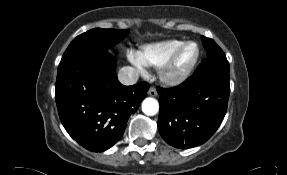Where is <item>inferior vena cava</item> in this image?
Segmentation results:
<instances>
[{
	"mask_svg": "<svg viewBox=\"0 0 287 175\" xmlns=\"http://www.w3.org/2000/svg\"><path fill=\"white\" fill-rule=\"evenodd\" d=\"M138 78V71L129 66L121 68L118 72V80L123 85H133L137 82Z\"/></svg>",
	"mask_w": 287,
	"mask_h": 175,
	"instance_id": "1",
	"label": "inferior vena cava"
}]
</instances>
